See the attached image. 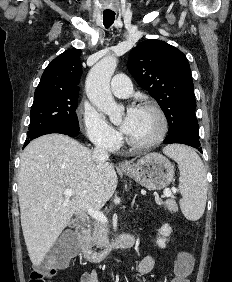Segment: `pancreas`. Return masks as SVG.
<instances>
[{
    "instance_id": "cf45deb5",
    "label": "pancreas",
    "mask_w": 232,
    "mask_h": 282,
    "mask_svg": "<svg viewBox=\"0 0 232 282\" xmlns=\"http://www.w3.org/2000/svg\"><path fill=\"white\" fill-rule=\"evenodd\" d=\"M165 206L171 213L178 211V206L174 199H168L165 202ZM108 233L109 229L107 224L97 221L88 227L87 237L93 246L104 248L109 244Z\"/></svg>"
}]
</instances>
